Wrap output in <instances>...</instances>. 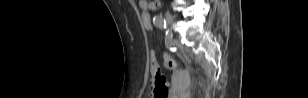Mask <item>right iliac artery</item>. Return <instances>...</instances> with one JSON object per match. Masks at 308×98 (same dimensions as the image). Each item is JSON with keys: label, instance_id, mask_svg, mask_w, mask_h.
Returning a JSON list of instances; mask_svg holds the SVG:
<instances>
[{"label": "right iliac artery", "instance_id": "1", "mask_svg": "<svg viewBox=\"0 0 308 98\" xmlns=\"http://www.w3.org/2000/svg\"><path fill=\"white\" fill-rule=\"evenodd\" d=\"M153 23L155 24L156 27L160 28V29H164L166 28V22L163 19L162 16H155L153 18Z\"/></svg>", "mask_w": 308, "mask_h": 98}]
</instances>
